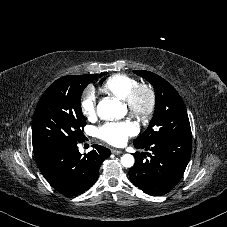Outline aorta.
Wrapping results in <instances>:
<instances>
[{
    "label": "aorta",
    "mask_w": 227,
    "mask_h": 227,
    "mask_svg": "<svg viewBox=\"0 0 227 227\" xmlns=\"http://www.w3.org/2000/svg\"><path fill=\"white\" fill-rule=\"evenodd\" d=\"M127 109L120 101L116 99L105 98L98 103L97 113L101 119H121L125 116ZM121 164L130 168L134 165V157L131 154H125L121 157Z\"/></svg>",
    "instance_id": "obj_1"
}]
</instances>
